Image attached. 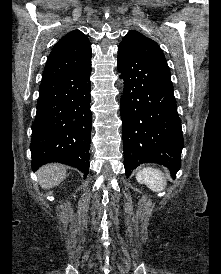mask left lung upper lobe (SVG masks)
Returning a JSON list of instances; mask_svg holds the SVG:
<instances>
[{
  "mask_svg": "<svg viewBox=\"0 0 221 274\" xmlns=\"http://www.w3.org/2000/svg\"><path fill=\"white\" fill-rule=\"evenodd\" d=\"M119 46L127 47L152 62L168 67L166 58L159 45L135 30L129 31L123 37V41Z\"/></svg>",
  "mask_w": 221,
  "mask_h": 274,
  "instance_id": "obj_1",
  "label": "left lung upper lobe"
}]
</instances>
